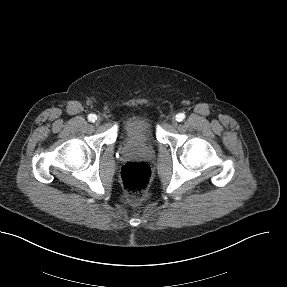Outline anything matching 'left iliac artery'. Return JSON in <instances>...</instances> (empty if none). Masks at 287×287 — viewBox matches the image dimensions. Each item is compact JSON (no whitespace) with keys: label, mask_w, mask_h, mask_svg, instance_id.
Listing matches in <instances>:
<instances>
[{"label":"left iliac artery","mask_w":287,"mask_h":287,"mask_svg":"<svg viewBox=\"0 0 287 287\" xmlns=\"http://www.w3.org/2000/svg\"><path fill=\"white\" fill-rule=\"evenodd\" d=\"M185 119V114L184 113H179V114H177L176 115V120L177 121H182V120H184Z\"/></svg>","instance_id":"left-iliac-artery-1"}]
</instances>
